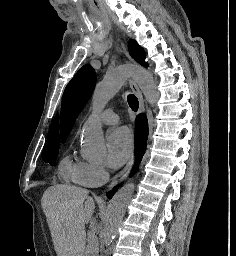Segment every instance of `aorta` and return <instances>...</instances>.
Here are the masks:
<instances>
[{
    "label": "aorta",
    "mask_w": 236,
    "mask_h": 256,
    "mask_svg": "<svg viewBox=\"0 0 236 256\" xmlns=\"http://www.w3.org/2000/svg\"><path fill=\"white\" fill-rule=\"evenodd\" d=\"M132 77L142 90L148 103L154 107L159 99V93L152 75L139 66H120L108 73L95 87L92 96L93 112L85 122L82 130L83 143L96 152L104 150L103 132L99 114L107 102L120 90L125 81ZM134 183L123 186L111 199L103 228V243L109 247L112 243L121 220L125 215L129 200L134 191Z\"/></svg>",
    "instance_id": "obj_1"
}]
</instances>
